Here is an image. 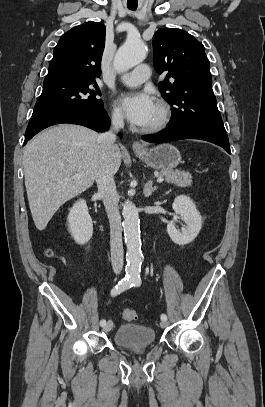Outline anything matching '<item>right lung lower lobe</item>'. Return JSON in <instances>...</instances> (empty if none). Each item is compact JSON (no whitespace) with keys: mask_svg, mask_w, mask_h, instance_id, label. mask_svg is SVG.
<instances>
[{"mask_svg":"<svg viewBox=\"0 0 265 407\" xmlns=\"http://www.w3.org/2000/svg\"><path fill=\"white\" fill-rule=\"evenodd\" d=\"M60 123L79 124L95 131L103 132L108 129L110 119L104 109H81L74 112H67L27 127L23 145L41 130Z\"/></svg>","mask_w":265,"mask_h":407,"instance_id":"1","label":"right lung lower lobe"}]
</instances>
